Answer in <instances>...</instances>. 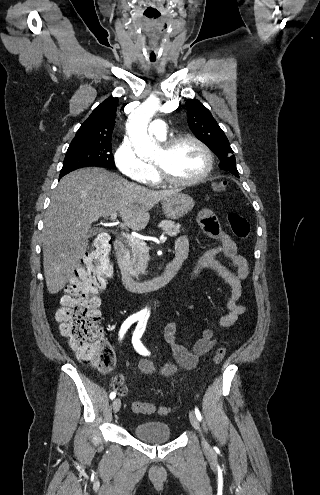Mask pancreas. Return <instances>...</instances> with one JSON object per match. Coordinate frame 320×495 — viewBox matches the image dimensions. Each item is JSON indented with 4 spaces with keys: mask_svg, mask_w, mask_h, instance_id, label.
<instances>
[{
    "mask_svg": "<svg viewBox=\"0 0 320 495\" xmlns=\"http://www.w3.org/2000/svg\"><path fill=\"white\" fill-rule=\"evenodd\" d=\"M159 227L169 236H177L181 231V225L170 220H163ZM148 262L147 246L129 244L125 251L124 258L120 262V267L128 272L132 277H138L143 273Z\"/></svg>",
    "mask_w": 320,
    "mask_h": 495,
    "instance_id": "1",
    "label": "pancreas"
}]
</instances>
